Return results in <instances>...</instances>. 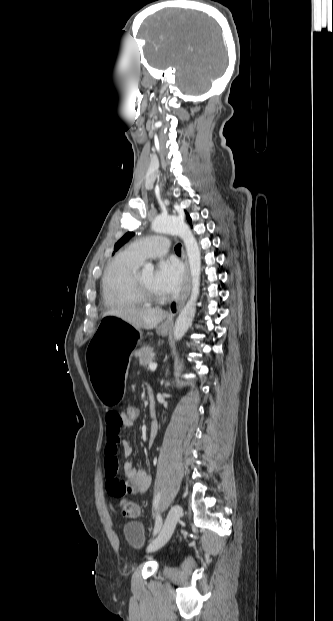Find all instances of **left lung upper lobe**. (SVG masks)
<instances>
[{
  "label": "left lung upper lobe",
  "instance_id": "left-lung-upper-lobe-1",
  "mask_svg": "<svg viewBox=\"0 0 333 621\" xmlns=\"http://www.w3.org/2000/svg\"><path fill=\"white\" fill-rule=\"evenodd\" d=\"M187 221L191 224L192 220L188 213H186ZM134 234L132 232H127L114 246V252H116L121 246H123ZM113 252V254H114Z\"/></svg>",
  "mask_w": 333,
  "mask_h": 621
}]
</instances>
